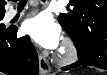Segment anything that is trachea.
Instances as JSON below:
<instances>
[{
    "label": "trachea",
    "mask_w": 107,
    "mask_h": 75,
    "mask_svg": "<svg viewBox=\"0 0 107 75\" xmlns=\"http://www.w3.org/2000/svg\"><path fill=\"white\" fill-rule=\"evenodd\" d=\"M26 2H27V0H19V5H21V4H26Z\"/></svg>",
    "instance_id": "3493384b"
}]
</instances>
